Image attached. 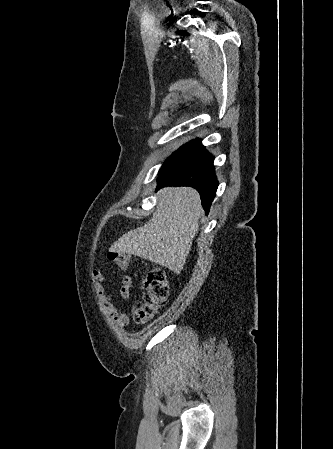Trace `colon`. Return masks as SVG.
Instances as JSON below:
<instances>
[{"label": "colon", "mask_w": 333, "mask_h": 449, "mask_svg": "<svg viewBox=\"0 0 333 449\" xmlns=\"http://www.w3.org/2000/svg\"><path fill=\"white\" fill-rule=\"evenodd\" d=\"M108 259L122 269H127L131 263L130 254L118 250L109 252ZM143 288L145 293L142 304L134 312L137 323L151 319L166 303L169 291L168 275L158 267L151 268L144 278Z\"/></svg>", "instance_id": "obj_1"}]
</instances>
